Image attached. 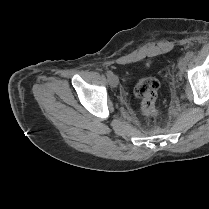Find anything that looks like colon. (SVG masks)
I'll return each instance as SVG.
<instances>
[{"label":"colon","instance_id":"obj_1","mask_svg":"<svg viewBox=\"0 0 209 209\" xmlns=\"http://www.w3.org/2000/svg\"><path fill=\"white\" fill-rule=\"evenodd\" d=\"M159 82L152 77L140 79L135 85V94L141 100V112L150 119H155L159 113L157 97Z\"/></svg>","mask_w":209,"mask_h":209}]
</instances>
